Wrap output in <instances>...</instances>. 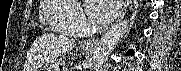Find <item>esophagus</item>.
<instances>
[{
	"instance_id": "34e87169",
	"label": "esophagus",
	"mask_w": 181,
	"mask_h": 71,
	"mask_svg": "<svg viewBox=\"0 0 181 71\" xmlns=\"http://www.w3.org/2000/svg\"><path fill=\"white\" fill-rule=\"evenodd\" d=\"M131 0H125L123 7L121 9V12L116 20V22L120 21L121 19H123V17L125 16L126 12H127V8L130 4ZM97 43V39H88L86 41H84L83 46L84 47H89V48H94L96 46Z\"/></svg>"
}]
</instances>
